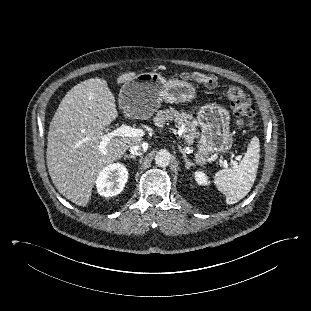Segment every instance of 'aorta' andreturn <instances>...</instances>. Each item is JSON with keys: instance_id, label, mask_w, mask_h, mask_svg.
<instances>
[{"instance_id": "1", "label": "aorta", "mask_w": 311, "mask_h": 311, "mask_svg": "<svg viewBox=\"0 0 311 311\" xmlns=\"http://www.w3.org/2000/svg\"><path fill=\"white\" fill-rule=\"evenodd\" d=\"M171 161V154L167 150H159L155 156V163L159 167H166Z\"/></svg>"}]
</instances>
